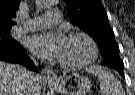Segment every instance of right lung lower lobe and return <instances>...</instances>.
Segmentation results:
<instances>
[{"instance_id": "obj_1", "label": "right lung lower lobe", "mask_w": 135, "mask_h": 95, "mask_svg": "<svg viewBox=\"0 0 135 95\" xmlns=\"http://www.w3.org/2000/svg\"><path fill=\"white\" fill-rule=\"evenodd\" d=\"M0 60L24 64L29 70L38 72L37 67L33 65L32 61L27 59L26 53L19 43L11 47H0Z\"/></svg>"}]
</instances>
